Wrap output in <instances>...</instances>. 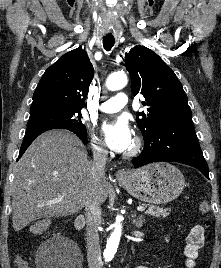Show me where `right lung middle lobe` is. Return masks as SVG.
Wrapping results in <instances>:
<instances>
[{"mask_svg": "<svg viewBox=\"0 0 221 268\" xmlns=\"http://www.w3.org/2000/svg\"><path fill=\"white\" fill-rule=\"evenodd\" d=\"M81 118V111H52L30 114L27 129L48 126L86 132V128L82 124Z\"/></svg>", "mask_w": 221, "mask_h": 268, "instance_id": "dd1d6c3e", "label": "right lung middle lobe"}]
</instances>
